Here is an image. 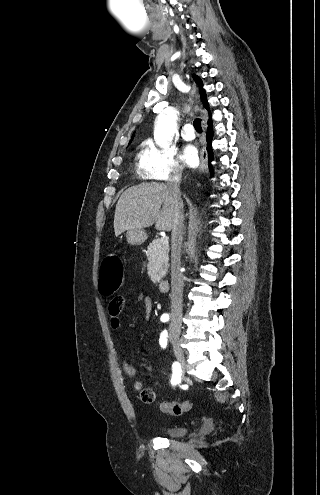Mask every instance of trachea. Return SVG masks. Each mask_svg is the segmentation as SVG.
<instances>
[{
    "mask_svg": "<svg viewBox=\"0 0 320 495\" xmlns=\"http://www.w3.org/2000/svg\"><path fill=\"white\" fill-rule=\"evenodd\" d=\"M193 125H194V128L196 129V131H197V132H199V133H201V132H202V127H201V119L196 118V119L194 120Z\"/></svg>",
    "mask_w": 320,
    "mask_h": 495,
    "instance_id": "trachea-1",
    "label": "trachea"
}]
</instances>
